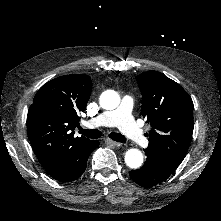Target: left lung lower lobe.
Segmentation results:
<instances>
[{
	"instance_id": "left-lung-lower-lobe-1",
	"label": "left lung lower lobe",
	"mask_w": 221,
	"mask_h": 221,
	"mask_svg": "<svg viewBox=\"0 0 221 221\" xmlns=\"http://www.w3.org/2000/svg\"><path fill=\"white\" fill-rule=\"evenodd\" d=\"M147 160L138 170L130 171L129 175L138 185L151 188L166 180L175 170L163 164L157 155L145 150Z\"/></svg>"
}]
</instances>
